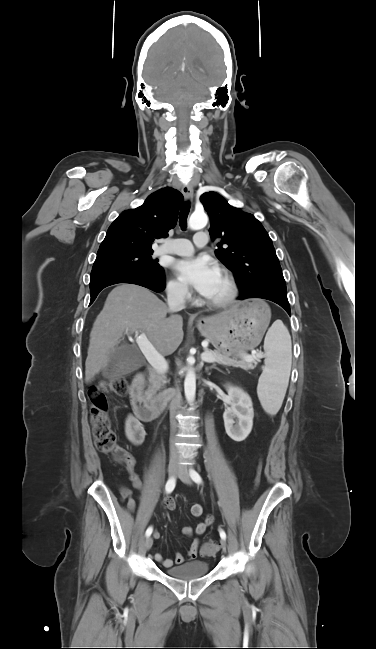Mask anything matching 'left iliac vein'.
Returning a JSON list of instances; mask_svg holds the SVG:
<instances>
[{"label":"left iliac vein","instance_id":"1","mask_svg":"<svg viewBox=\"0 0 376 649\" xmlns=\"http://www.w3.org/2000/svg\"><path fill=\"white\" fill-rule=\"evenodd\" d=\"M177 474H178L179 479H180L182 482H184V483L187 484V485H191V484H192L191 478H190V476L188 475V473H187V471H186V469H185L184 466H182V467H180V468L178 469V473H177ZM220 543H221V548H222V550H223L224 552H226V550H227V543H226L225 539H221Z\"/></svg>","mask_w":376,"mask_h":649}]
</instances>
